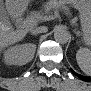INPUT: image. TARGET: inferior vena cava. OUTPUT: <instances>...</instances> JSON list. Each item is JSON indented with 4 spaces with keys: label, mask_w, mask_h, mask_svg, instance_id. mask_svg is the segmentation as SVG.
I'll list each match as a JSON object with an SVG mask.
<instances>
[{
    "label": "inferior vena cava",
    "mask_w": 91,
    "mask_h": 91,
    "mask_svg": "<svg viewBox=\"0 0 91 91\" xmlns=\"http://www.w3.org/2000/svg\"><path fill=\"white\" fill-rule=\"evenodd\" d=\"M47 31H48L47 27H44V26H41V27H38V28H33L31 30V32L34 33V34L44 33V32H47Z\"/></svg>",
    "instance_id": "inferior-vena-cava-1"
}]
</instances>
